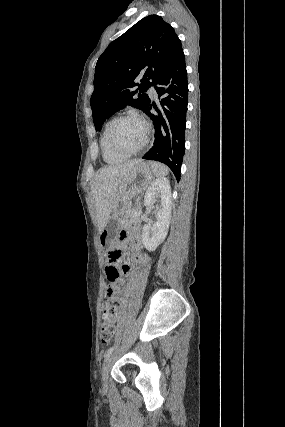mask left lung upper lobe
<instances>
[{
	"instance_id": "obj_1",
	"label": "left lung upper lobe",
	"mask_w": 285,
	"mask_h": 427,
	"mask_svg": "<svg viewBox=\"0 0 285 427\" xmlns=\"http://www.w3.org/2000/svg\"><path fill=\"white\" fill-rule=\"evenodd\" d=\"M182 51L173 27L162 17L149 15L110 43L99 57L91 108L96 130L112 114L131 105L146 111L145 93L155 86ZM140 80L134 83V80Z\"/></svg>"
}]
</instances>
